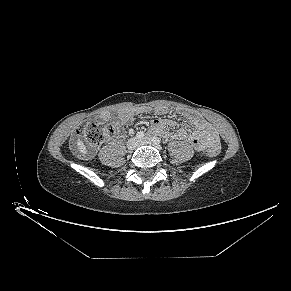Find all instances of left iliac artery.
I'll return each instance as SVG.
<instances>
[{"mask_svg": "<svg viewBox=\"0 0 291 291\" xmlns=\"http://www.w3.org/2000/svg\"><path fill=\"white\" fill-rule=\"evenodd\" d=\"M152 141L155 143V144H160L161 143V140L158 138V137H153L152 138Z\"/></svg>", "mask_w": 291, "mask_h": 291, "instance_id": "left-iliac-artery-1", "label": "left iliac artery"}]
</instances>
